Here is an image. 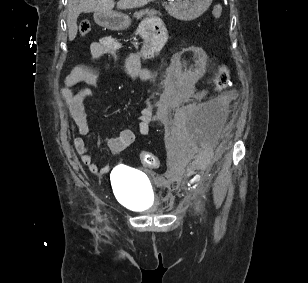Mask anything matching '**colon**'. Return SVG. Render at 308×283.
Listing matches in <instances>:
<instances>
[{"instance_id":"1","label":"colon","mask_w":308,"mask_h":283,"mask_svg":"<svg viewBox=\"0 0 308 283\" xmlns=\"http://www.w3.org/2000/svg\"><path fill=\"white\" fill-rule=\"evenodd\" d=\"M222 14V6L216 5L213 8L212 16L213 18H219ZM91 31V25L89 21L83 20L79 24V32L82 35H86ZM230 81V69L226 65H222L219 70L217 71L215 77H214V88L217 91H221L228 85ZM141 162L144 167L149 169H154L159 166V159L150 152H143L141 154Z\"/></svg>"}]
</instances>
